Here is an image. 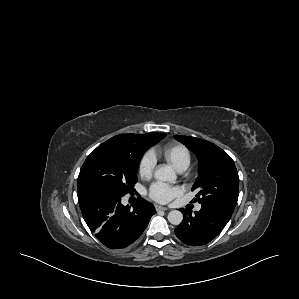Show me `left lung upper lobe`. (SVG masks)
<instances>
[{
	"instance_id": "5c2ea615",
	"label": "left lung upper lobe",
	"mask_w": 299,
	"mask_h": 299,
	"mask_svg": "<svg viewBox=\"0 0 299 299\" xmlns=\"http://www.w3.org/2000/svg\"><path fill=\"white\" fill-rule=\"evenodd\" d=\"M174 137L198 157L199 176L192 187V191H198L194 201L231 217L239 194V176L231 157L211 142L190 136Z\"/></svg>"
}]
</instances>
